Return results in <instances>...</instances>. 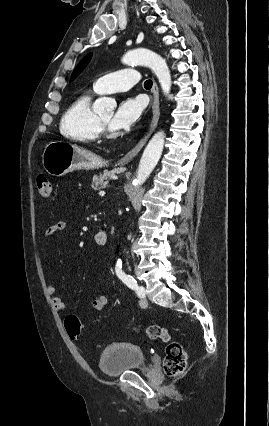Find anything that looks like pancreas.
<instances>
[{"mask_svg":"<svg viewBox=\"0 0 269 426\" xmlns=\"http://www.w3.org/2000/svg\"><path fill=\"white\" fill-rule=\"evenodd\" d=\"M111 174L104 172L103 174L100 173L98 175H95L93 177V181H92V188L94 190H99L101 188H105L109 182V178H110Z\"/></svg>","mask_w":269,"mask_h":426,"instance_id":"1","label":"pancreas"}]
</instances>
